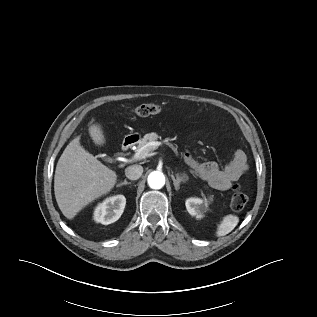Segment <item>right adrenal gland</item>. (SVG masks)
Listing matches in <instances>:
<instances>
[{"label":"right adrenal gland","instance_id":"1","mask_svg":"<svg viewBox=\"0 0 317 317\" xmlns=\"http://www.w3.org/2000/svg\"><path fill=\"white\" fill-rule=\"evenodd\" d=\"M131 182L124 180L122 183L118 184L117 187H122L123 185H130Z\"/></svg>","mask_w":317,"mask_h":317}]
</instances>
